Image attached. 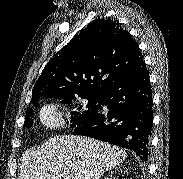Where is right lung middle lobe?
Listing matches in <instances>:
<instances>
[{
  "instance_id": "obj_1",
  "label": "right lung middle lobe",
  "mask_w": 183,
  "mask_h": 179,
  "mask_svg": "<svg viewBox=\"0 0 183 179\" xmlns=\"http://www.w3.org/2000/svg\"><path fill=\"white\" fill-rule=\"evenodd\" d=\"M74 97L75 96H56L52 98L62 99V103L70 104ZM78 97L87 99L88 103L86 106L80 105L77 112H72L73 123L70 125V127H78L80 125H83L98 111V105H96V103H98L99 101V94H82L78 95ZM34 105L38 106L39 104L38 102H36ZM32 112L33 111L31 108H28L26 111L27 118L25 119V127L27 128H30L33 125V121L28 119V117L32 115Z\"/></svg>"
}]
</instances>
